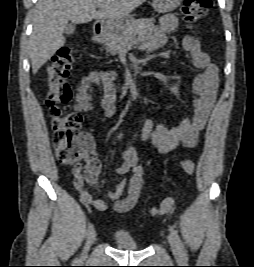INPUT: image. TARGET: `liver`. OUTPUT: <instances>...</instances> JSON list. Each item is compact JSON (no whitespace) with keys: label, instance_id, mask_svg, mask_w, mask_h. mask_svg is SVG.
I'll list each match as a JSON object with an SVG mask.
<instances>
[{"label":"liver","instance_id":"6515ba94","mask_svg":"<svg viewBox=\"0 0 254 267\" xmlns=\"http://www.w3.org/2000/svg\"><path fill=\"white\" fill-rule=\"evenodd\" d=\"M146 0H38L33 14L29 56L34 74L65 44L68 21L82 24L128 16ZM100 5V10L96 8Z\"/></svg>","mask_w":254,"mask_h":267}]
</instances>
